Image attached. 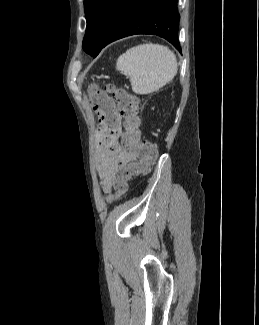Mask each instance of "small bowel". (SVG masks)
I'll return each instance as SVG.
<instances>
[{"label": "small bowel", "instance_id": "1", "mask_svg": "<svg viewBox=\"0 0 259 325\" xmlns=\"http://www.w3.org/2000/svg\"><path fill=\"white\" fill-rule=\"evenodd\" d=\"M118 122L120 117L116 114ZM100 147L98 153L97 170L102 188L109 192L112 188L115 174L138 162L137 155L124 143L119 129L111 132L100 130Z\"/></svg>", "mask_w": 259, "mask_h": 325}]
</instances>
